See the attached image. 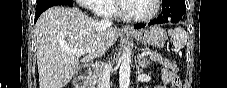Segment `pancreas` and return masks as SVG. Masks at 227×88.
<instances>
[{"label":"pancreas","mask_w":227,"mask_h":88,"mask_svg":"<svg viewBox=\"0 0 227 88\" xmlns=\"http://www.w3.org/2000/svg\"><path fill=\"white\" fill-rule=\"evenodd\" d=\"M151 61L158 62L164 67L171 69L172 71H175V72L178 71V68L175 62H171L170 60L165 59L160 55L150 56L149 59H147V62L150 63ZM97 78H98V73L92 76V84H91L92 88L94 87V82L96 81Z\"/></svg>","instance_id":"cf45deb5"}]
</instances>
